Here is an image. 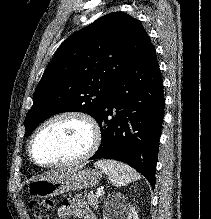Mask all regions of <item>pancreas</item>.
Returning a JSON list of instances; mask_svg holds the SVG:
<instances>
[{
    "label": "pancreas",
    "instance_id": "obj_1",
    "mask_svg": "<svg viewBox=\"0 0 211 219\" xmlns=\"http://www.w3.org/2000/svg\"><path fill=\"white\" fill-rule=\"evenodd\" d=\"M86 201L90 206H92L94 209L98 208V199L99 196L94 194L93 192H89L85 194Z\"/></svg>",
    "mask_w": 211,
    "mask_h": 219
}]
</instances>
